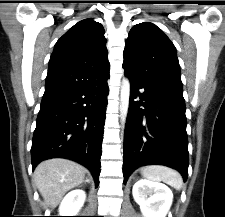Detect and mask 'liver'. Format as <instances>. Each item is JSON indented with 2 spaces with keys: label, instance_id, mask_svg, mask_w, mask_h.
Here are the masks:
<instances>
[{
  "label": "liver",
  "instance_id": "obj_1",
  "mask_svg": "<svg viewBox=\"0 0 225 217\" xmlns=\"http://www.w3.org/2000/svg\"><path fill=\"white\" fill-rule=\"evenodd\" d=\"M85 173L86 169L76 162L53 158L38 164L34 171V182L45 205L55 208L66 192L84 181Z\"/></svg>",
  "mask_w": 225,
  "mask_h": 217
}]
</instances>
